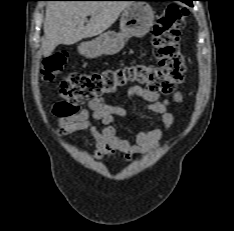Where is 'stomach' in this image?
<instances>
[{
    "instance_id": "obj_1",
    "label": "stomach",
    "mask_w": 234,
    "mask_h": 231,
    "mask_svg": "<svg viewBox=\"0 0 234 231\" xmlns=\"http://www.w3.org/2000/svg\"><path fill=\"white\" fill-rule=\"evenodd\" d=\"M154 21V11L146 2H131L121 16L120 31L101 33L91 41L82 43L78 50L87 58L114 55L123 49L131 37H144Z\"/></svg>"
}]
</instances>
